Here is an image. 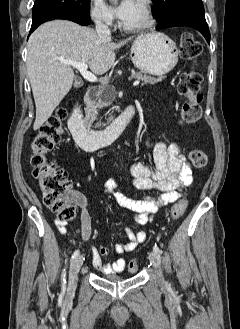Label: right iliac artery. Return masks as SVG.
<instances>
[{"mask_svg":"<svg viewBox=\"0 0 240 329\" xmlns=\"http://www.w3.org/2000/svg\"><path fill=\"white\" fill-rule=\"evenodd\" d=\"M78 255H79V250H75L72 257H71V260H74L76 257H78ZM65 275H66V272H65V269H64L63 274H62V284H63V286H65V284H66Z\"/></svg>","mask_w":240,"mask_h":329,"instance_id":"1","label":"right iliac artery"}]
</instances>
